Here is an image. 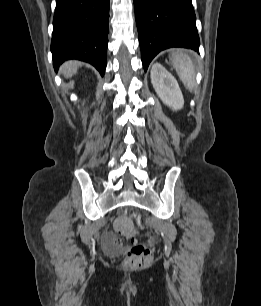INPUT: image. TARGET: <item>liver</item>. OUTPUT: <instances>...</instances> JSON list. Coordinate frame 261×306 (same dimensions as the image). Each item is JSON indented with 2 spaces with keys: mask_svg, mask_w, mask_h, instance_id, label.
<instances>
[{
  "mask_svg": "<svg viewBox=\"0 0 261 306\" xmlns=\"http://www.w3.org/2000/svg\"><path fill=\"white\" fill-rule=\"evenodd\" d=\"M77 67H78L77 62L70 61L65 63L61 70L66 77H71L77 72Z\"/></svg>",
  "mask_w": 261,
  "mask_h": 306,
  "instance_id": "obj_1",
  "label": "liver"
}]
</instances>
